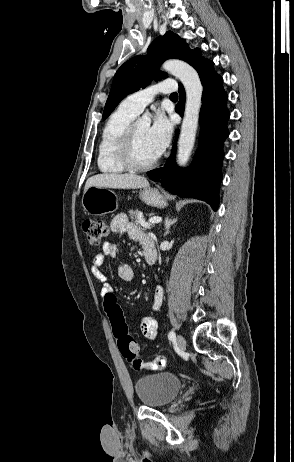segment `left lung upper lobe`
Returning <instances> with one entry per match:
<instances>
[{"label":"left lung upper lobe","instance_id":"left-lung-upper-lobe-1","mask_svg":"<svg viewBox=\"0 0 294 462\" xmlns=\"http://www.w3.org/2000/svg\"><path fill=\"white\" fill-rule=\"evenodd\" d=\"M147 54V56L139 55L131 58L118 69L104 108L103 119H106L128 94L146 87L154 78L155 80L166 78L167 74L163 72L157 75V68L163 61L169 58L182 59L195 69L208 61L202 57L198 48L190 50L184 39L170 31L153 41Z\"/></svg>","mask_w":294,"mask_h":462}]
</instances>
